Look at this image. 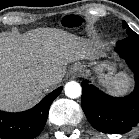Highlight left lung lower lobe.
<instances>
[{"label": "left lung lower lobe", "mask_w": 139, "mask_h": 139, "mask_svg": "<svg viewBox=\"0 0 139 139\" xmlns=\"http://www.w3.org/2000/svg\"><path fill=\"white\" fill-rule=\"evenodd\" d=\"M115 50L134 72V91L117 98L83 81L81 104L87 119L98 131L120 134L139 123V36L134 33L118 41Z\"/></svg>", "instance_id": "1"}]
</instances>
